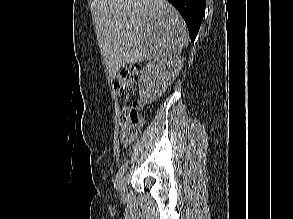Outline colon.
Instances as JSON below:
<instances>
[{
    "instance_id": "colon-1",
    "label": "colon",
    "mask_w": 293,
    "mask_h": 219,
    "mask_svg": "<svg viewBox=\"0 0 293 219\" xmlns=\"http://www.w3.org/2000/svg\"><path fill=\"white\" fill-rule=\"evenodd\" d=\"M139 80V70L136 65H129L121 69L115 82L114 88L116 93L124 98L129 99L133 96L136 85ZM141 102L133 100L128 103L121 113V124L128 126L131 130H138L142 126V119L139 115Z\"/></svg>"
}]
</instances>
